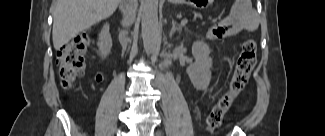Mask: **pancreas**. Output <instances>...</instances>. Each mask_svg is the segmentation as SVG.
<instances>
[{
  "label": "pancreas",
  "mask_w": 325,
  "mask_h": 136,
  "mask_svg": "<svg viewBox=\"0 0 325 136\" xmlns=\"http://www.w3.org/2000/svg\"><path fill=\"white\" fill-rule=\"evenodd\" d=\"M193 14V18H191V23L193 24H206L207 18L205 12H195L194 10L191 12Z\"/></svg>",
  "instance_id": "pancreas-1"
}]
</instances>
